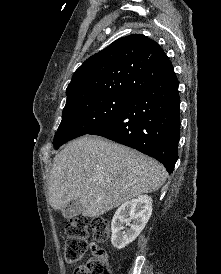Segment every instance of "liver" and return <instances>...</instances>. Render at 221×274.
I'll list each match as a JSON object with an SVG mask.
<instances>
[{"label":"liver","instance_id":"1","mask_svg":"<svg viewBox=\"0 0 221 274\" xmlns=\"http://www.w3.org/2000/svg\"><path fill=\"white\" fill-rule=\"evenodd\" d=\"M167 173L158 161L126 146L86 135L55 156L48 177L49 201L64 210L79 200L82 214L99 217L143 193L157 191Z\"/></svg>","mask_w":221,"mask_h":274}]
</instances>
